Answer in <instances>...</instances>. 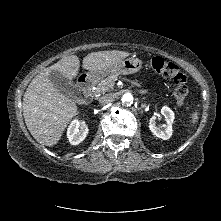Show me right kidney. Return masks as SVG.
I'll return each instance as SVG.
<instances>
[{"instance_id": "obj_1", "label": "right kidney", "mask_w": 221, "mask_h": 221, "mask_svg": "<svg viewBox=\"0 0 221 221\" xmlns=\"http://www.w3.org/2000/svg\"><path fill=\"white\" fill-rule=\"evenodd\" d=\"M88 131L84 122L80 123L78 120H74L67 129V138L72 145H78L86 138Z\"/></svg>"}]
</instances>
